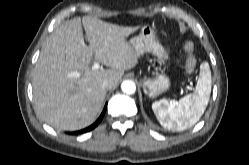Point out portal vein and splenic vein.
Returning <instances> with one entry per match:
<instances>
[{
  "label": "portal vein and splenic vein",
  "instance_id": "portal-vein-and-splenic-vein-1",
  "mask_svg": "<svg viewBox=\"0 0 249 165\" xmlns=\"http://www.w3.org/2000/svg\"><path fill=\"white\" fill-rule=\"evenodd\" d=\"M99 68H100L99 62H95L94 65L92 66L93 70H98ZM75 76H78V74L76 73Z\"/></svg>",
  "mask_w": 249,
  "mask_h": 165
}]
</instances>
